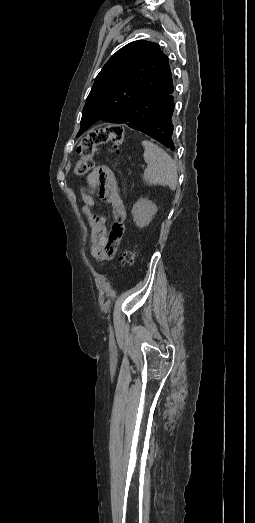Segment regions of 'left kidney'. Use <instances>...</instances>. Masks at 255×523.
I'll return each instance as SVG.
<instances>
[{
  "mask_svg": "<svg viewBox=\"0 0 255 523\" xmlns=\"http://www.w3.org/2000/svg\"><path fill=\"white\" fill-rule=\"evenodd\" d=\"M157 210L158 208L153 202L146 200V198H140L132 208L133 220L136 226H139V228L148 226Z\"/></svg>",
  "mask_w": 255,
  "mask_h": 523,
  "instance_id": "5707ae66",
  "label": "left kidney"
}]
</instances>
